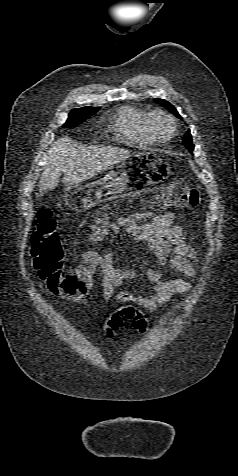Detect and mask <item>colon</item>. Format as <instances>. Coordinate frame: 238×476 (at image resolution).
Listing matches in <instances>:
<instances>
[{
	"label": "colon",
	"instance_id": "5ec220e1",
	"mask_svg": "<svg viewBox=\"0 0 238 476\" xmlns=\"http://www.w3.org/2000/svg\"><path fill=\"white\" fill-rule=\"evenodd\" d=\"M200 193L197 189L188 185L183 179L173 180L165 188L161 195L153 200L155 209L167 207L192 208L199 205ZM106 225L105 220L98 221L93 229L100 230ZM31 253L33 264L40 278L52 291L75 292L83 290L92 284L90 272L64 268V248L57 222L49 209L42 208L37 212V221L31 237ZM123 319L132 322L134 328L143 332L146 328V320L142 314L132 307L118 311L111 319L110 326L117 328L123 324Z\"/></svg>",
	"mask_w": 238,
	"mask_h": 476
}]
</instances>
